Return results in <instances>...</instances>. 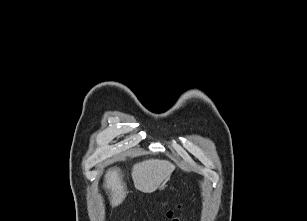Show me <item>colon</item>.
Masks as SVG:
<instances>
[{"instance_id":"colon-1","label":"colon","mask_w":307,"mask_h":221,"mask_svg":"<svg viewBox=\"0 0 307 221\" xmlns=\"http://www.w3.org/2000/svg\"><path fill=\"white\" fill-rule=\"evenodd\" d=\"M172 215V212H167V216L170 217ZM123 221H126L125 219Z\"/></svg>"}]
</instances>
